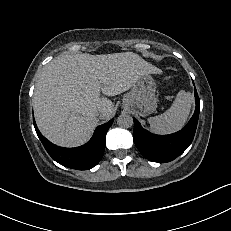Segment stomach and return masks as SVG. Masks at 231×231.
Returning a JSON list of instances; mask_svg holds the SVG:
<instances>
[{
	"label": "stomach",
	"instance_id": "stomach-1",
	"mask_svg": "<svg viewBox=\"0 0 231 231\" xmlns=\"http://www.w3.org/2000/svg\"><path fill=\"white\" fill-rule=\"evenodd\" d=\"M156 83L150 74L141 75L124 95L122 107L140 116H148L157 108Z\"/></svg>",
	"mask_w": 231,
	"mask_h": 231
}]
</instances>
